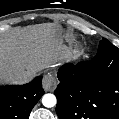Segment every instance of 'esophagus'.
Here are the masks:
<instances>
[{
	"instance_id": "esophagus-1",
	"label": "esophagus",
	"mask_w": 119,
	"mask_h": 119,
	"mask_svg": "<svg viewBox=\"0 0 119 119\" xmlns=\"http://www.w3.org/2000/svg\"><path fill=\"white\" fill-rule=\"evenodd\" d=\"M42 86L45 91H49V92H52L56 89L57 80L51 72H48L47 74L44 75Z\"/></svg>"
}]
</instances>
